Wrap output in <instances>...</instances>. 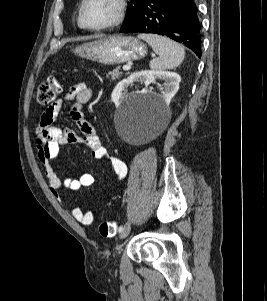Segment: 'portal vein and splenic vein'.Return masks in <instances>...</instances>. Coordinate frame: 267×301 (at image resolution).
I'll use <instances>...</instances> for the list:
<instances>
[{
  "label": "portal vein and splenic vein",
  "mask_w": 267,
  "mask_h": 301,
  "mask_svg": "<svg viewBox=\"0 0 267 301\" xmlns=\"http://www.w3.org/2000/svg\"><path fill=\"white\" fill-rule=\"evenodd\" d=\"M130 69H131V66H129V65L123 66L124 71H129Z\"/></svg>",
  "instance_id": "obj_1"
}]
</instances>
